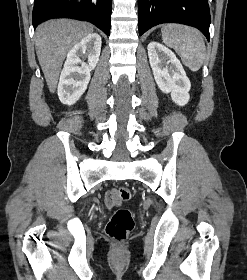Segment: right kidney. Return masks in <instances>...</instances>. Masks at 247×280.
Listing matches in <instances>:
<instances>
[{
    "mask_svg": "<svg viewBox=\"0 0 247 280\" xmlns=\"http://www.w3.org/2000/svg\"><path fill=\"white\" fill-rule=\"evenodd\" d=\"M101 43L100 35L91 33L68 52L58 84V96L63 104H74L87 89L90 72L99 60Z\"/></svg>",
    "mask_w": 247,
    "mask_h": 280,
    "instance_id": "right-kidney-1",
    "label": "right kidney"
}]
</instances>
